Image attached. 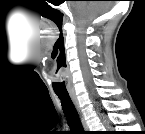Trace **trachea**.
<instances>
[{
    "instance_id": "3493384b",
    "label": "trachea",
    "mask_w": 145,
    "mask_h": 134,
    "mask_svg": "<svg viewBox=\"0 0 145 134\" xmlns=\"http://www.w3.org/2000/svg\"><path fill=\"white\" fill-rule=\"evenodd\" d=\"M70 129L74 132H84L77 110L69 95L57 94Z\"/></svg>"
}]
</instances>
